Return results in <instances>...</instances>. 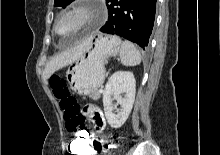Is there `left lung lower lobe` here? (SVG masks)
<instances>
[{"mask_svg":"<svg viewBox=\"0 0 220 155\" xmlns=\"http://www.w3.org/2000/svg\"><path fill=\"white\" fill-rule=\"evenodd\" d=\"M108 21L100 29L146 49L155 19L156 0H106Z\"/></svg>","mask_w":220,"mask_h":155,"instance_id":"1","label":"left lung lower lobe"}]
</instances>
